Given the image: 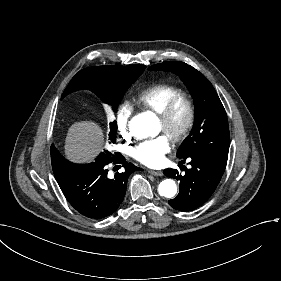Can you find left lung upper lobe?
Masks as SVG:
<instances>
[{
	"mask_svg": "<svg viewBox=\"0 0 281 281\" xmlns=\"http://www.w3.org/2000/svg\"><path fill=\"white\" fill-rule=\"evenodd\" d=\"M149 69L177 74L194 100V126L179 147L177 157L202 155L226 166L230 143L228 120L225 109L209 80L183 62H163L152 65Z\"/></svg>",
	"mask_w": 281,
	"mask_h": 281,
	"instance_id": "obj_1",
	"label": "left lung upper lobe"
}]
</instances>
